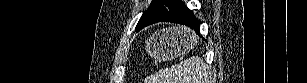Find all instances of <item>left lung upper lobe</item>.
<instances>
[{
    "label": "left lung upper lobe",
    "instance_id": "5c2ea615",
    "mask_svg": "<svg viewBox=\"0 0 307 83\" xmlns=\"http://www.w3.org/2000/svg\"><path fill=\"white\" fill-rule=\"evenodd\" d=\"M177 0H153L149 8L143 13L136 29L159 22L168 15Z\"/></svg>",
    "mask_w": 307,
    "mask_h": 83
}]
</instances>
